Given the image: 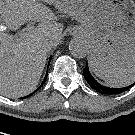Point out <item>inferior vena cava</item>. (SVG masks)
I'll use <instances>...</instances> for the list:
<instances>
[{
  "instance_id": "602c4592",
  "label": "inferior vena cava",
  "mask_w": 135,
  "mask_h": 135,
  "mask_svg": "<svg viewBox=\"0 0 135 135\" xmlns=\"http://www.w3.org/2000/svg\"><path fill=\"white\" fill-rule=\"evenodd\" d=\"M51 45H53V41H51Z\"/></svg>"
}]
</instances>
